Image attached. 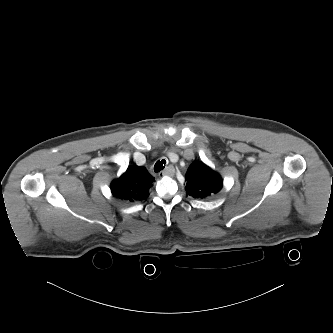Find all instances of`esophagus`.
<instances>
[{
    "instance_id": "obj_1",
    "label": "esophagus",
    "mask_w": 333,
    "mask_h": 333,
    "mask_svg": "<svg viewBox=\"0 0 333 333\" xmlns=\"http://www.w3.org/2000/svg\"><path fill=\"white\" fill-rule=\"evenodd\" d=\"M175 174V168L172 165H169L166 167L162 172L159 173V177H173Z\"/></svg>"
}]
</instances>
